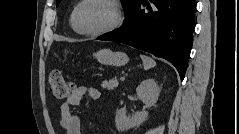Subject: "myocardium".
I'll list each match as a JSON object with an SVG mask.
<instances>
[{"instance_id":"f54148a6","label":"myocardium","mask_w":239,"mask_h":134,"mask_svg":"<svg viewBox=\"0 0 239 134\" xmlns=\"http://www.w3.org/2000/svg\"><path fill=\"white\" fill-rule=\"evenodd\" d=\"M88 1H102V2L106 3L112 9L114 18L109 26H107L104 29L98 30V31H84L79 27V25H78L79 11H80L81 7ZM121 21H122L121 11H120L118 5L112 0H83V1H80L76 5V7L72 13V18H71L72 26L75 29V31L77 33H79L80 35L89 36V37H98V36L108 34L112 31H114L115 29H117L120 26Z\"/></svg>"}]
</instances>
